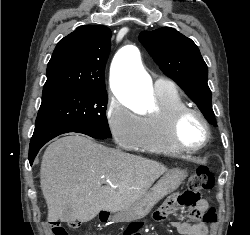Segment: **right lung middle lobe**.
Segmentation results:
<instances>
[{
    "label": "right lung middle lobe",
    "mask_w": 250,
    "mask_h": 235,
    "mask_svg": "<svg viewBox=\"0 0 250 235\" xmlns=\"http://www.w3.org/2000/svg\"><path fill=\"white\" fill-rule=\"evenodd\" d=\"M107 100L105 88L69 90L42 97L35 126L64 123L110 138L106 117Z\"/></svg>",
    "instance_id": "right-lung-middle-lobe-1"
}]
</instances>
